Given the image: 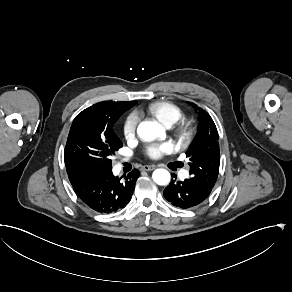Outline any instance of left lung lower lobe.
Returning a JSON list of instances; mask_svg holds the SVG:
<instances>
[{
	"label": "left lung lower lobe",
	"instance_id": "obj_1",
	"mask_svg": "<svg viewBox=\"0 0 292 292\" xmlns=\"http://www.w3.org/2000/svg\"><path fill=\"white\" fill-rule=\"evenodd\" d=\"M212 188L190 179L172 180L164 189V197L175 207L188 209L201 204L211 193Z\"/></svg>",
	"mask_w": 292,
	"mask_h": 292
}]
</instances>
